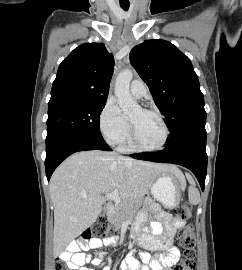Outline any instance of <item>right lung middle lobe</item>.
Instances as JSON below:
<instances>
[{"instance_id":"obj_1","label":"right lung middle lobe","mask_w":242,"mask_h":270,"mask_svg":"<svg viewBox=\"0 0 242 270\" xmlns=\"http://www.w3.org/2000/svg\"><path fill=\"white\" fill-rule=\"evenodd\" d=\"M100 102H64L48 106L46 144L65 135L103 139L99 128Z\"/></svg>"}]
</instances>
